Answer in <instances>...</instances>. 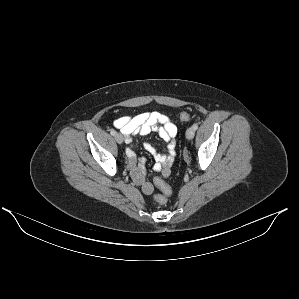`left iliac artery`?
<instances>
[{"label": "left iliac artery", "instance_id": "44dca946", "mask_svg": "<svg viewBox=\"0 0 299 299\" xmlns=\"http://www.w3.org/2000/svg\"><path fill=\"white\" fill-rule=\"evenodd\" d=\"M192 127H193L194 130H197L198 129V124H194Z\"/></svg>", "mask_w": 299, "mask_h": 299}]
</instances>
